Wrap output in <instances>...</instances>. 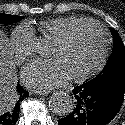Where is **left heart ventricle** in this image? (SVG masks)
I'll list each match as a JSON object with an SVG mask.
<instances>
[{
  "label": "left heart ventricle",
  "mask_w": 125,
  "mask_h": 125,
  "mask_svg": "<svg viewBox=\"0 0 125 125\" xmlns=\"http://www.w3.org/2000/svg\"><path fill=\"white\" fill-rule=\"evenodd\" d=\"M104 36L95 26L78 29L64 44L53 43L51 57L62 60L72 76L91 70L99 61Z\"/></svg>",
  "instance_id": "b2bd125f"
}]
</instances>
